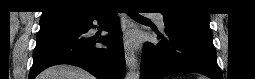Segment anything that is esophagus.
Returning a JSON list of instances; mask_svg holds the SVG:
<instances>
[{
  "label": "esophagus",
  "instance_id": "34e87169",
  "mask_svg": "<svg viewBox=\"0 0 255 79\" xmlns=\"http://www.w3.org/2000/svg\"><path fill=\"white\" fill-rule=\"evenodd\" d=\"M125 60L128 68H133L136 61L135 54L129 49L127 45H124Z\"/></svg>",
  "mask_w": 255,
  "mask_h": 79
}]
</instances>
